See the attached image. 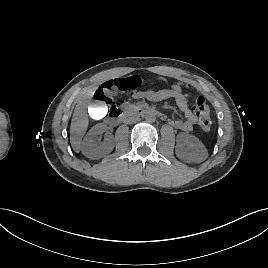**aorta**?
<instances>
[{
  "instance_id": "aorta-1",
  "label": "aorta",
  "mask_w": 268,
  "mask_h": 268,
  "mask_svg": "<svg viewBox=\"0 0 268 268\" xmlns=\"http://www.w3.org/2000/svg\"><path fill=\"white\" fill-rule=\"evenodd\" d=\"M145 119L148 123H152L155 122L156 120V115L153 112H148L145 116Z\"/></svg>"
}]
</instances>
